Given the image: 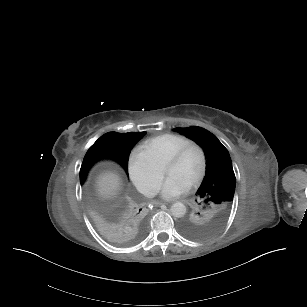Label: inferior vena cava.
Wrapping results in <instances>:
<instances>
[{
    "label": "inferior vena cava",
    "instance_id": "obj_1",
    "mask_svg": "<svg viewBox=\"0 0 307 307\" xmlns=\"http://www.w3.org/2000/svg\"><path fill=\"white\" fill-rule=\"evenodd\" d=\"M142 193L147 196V197H152L154 195V191L152 189L149 188H144V190L142 191Z\"/></svg>",
    "mask_w": 307,
    "mask_h": 307
}]
</instances>
